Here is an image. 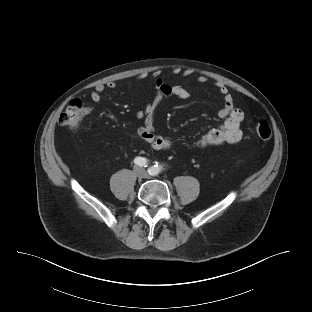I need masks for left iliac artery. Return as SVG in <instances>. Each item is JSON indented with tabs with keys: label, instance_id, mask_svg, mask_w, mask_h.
Returning a JSON list of instances; mask_svg holds the SVG:
<instances>
[{
	"label": "left iliac artery",
	"instance_id": "left-iliac-artery-1",
	"mask_svg": "<svg viewBox=\"0 0 312 312\" xmlns=\"http://www.w3.org/2000/svg\"><path fill=\"white\" fill-rule=\"evenodd\" d=\"M148 172H149L150 175H156V174H158V172H159V167H158V165L156 164V165L150 167V168L148 169Z\"/></svg>",
	"mask_w": 312,
	"mask_h": 312
}]
</instances>
